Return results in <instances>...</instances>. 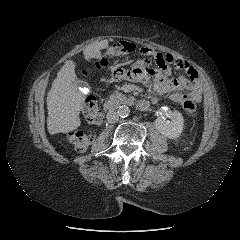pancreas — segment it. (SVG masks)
<instances>
[{"mask_svg":"<svg viewBox=\"0 0 240 240\" xmlns=\"http://www.w3.org/2000/svg\"><path fill=\"white\" fill-rule=\"evenodd\" d=\"M131 97H127L126 95L115 91L113 94L109 96V101L110 102H126L130 99Z\"/></svg>","mask_w":240,"mask_h":240,"instance_id":"obj_1","label":"pancreas"}]
</instances>
